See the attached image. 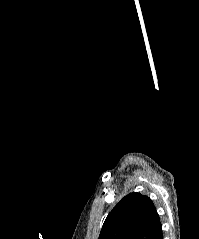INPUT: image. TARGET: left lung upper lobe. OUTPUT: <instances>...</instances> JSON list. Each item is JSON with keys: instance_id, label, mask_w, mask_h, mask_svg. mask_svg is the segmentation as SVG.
Listing matches in <instances>:
<instances>
[{"instance_id": "obj_1", "label": "left lung upper lobe", "mask_w": 199, "mask_h": 239, "mask_svg": "<svg viewBox=\"0 0 199 239\" xmlns=\"http://www.w3.org/2000/svg\"><path fill=\"white\" fill-rule=\"evenodd\" d=\"M160 225L151 199L133 192L108 214L98 239H153Z\"/></svg>"}]
</instances>
